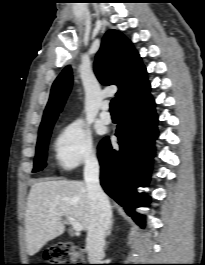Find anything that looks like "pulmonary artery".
Here are the masks:
<instances>
[{"mask_svg":"<svg viewBox=\"0 0 205 265\" xmlns=\"http://www.w3.org/2000/svg\"><path fill=\"white\" fill-rule=\"evenodd\" d=\"M100 118L105 124H109L111 122L112 118H111V114L109 112V103L108 102H104L102 104V110L100 113Z\"/></svg>","mask_w":205,"mask_h":265,"instance_id":"e3ab8cb5","label":"pulmonary artery"}]
</instances>
